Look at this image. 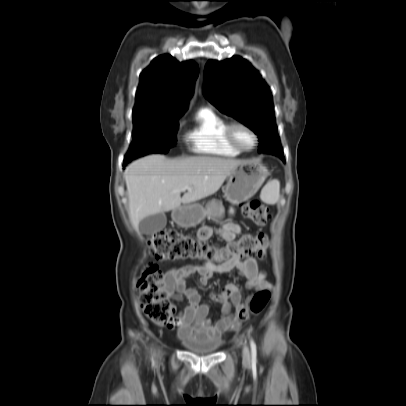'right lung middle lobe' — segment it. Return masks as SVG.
Wrapping results in <instances>:
<instances>
[{"instance_id":"1","label":"right lung middle lobe","mask_w":406,"mask_h":406,"mask_svg":"<svg viewBox=\"0 0 406 406\" xmlns=\"http://www.w3.org/2000/svg\"><path fill=\"white\" fill-rule=\"evenodd\" d=\"M133 126L132 142L124 164L147 154L167 153L176 144L177 117L133 115Z\"/></svg>"}]
</instances>
